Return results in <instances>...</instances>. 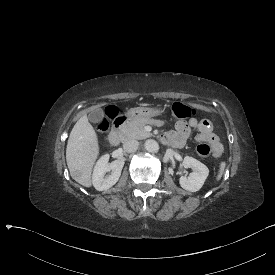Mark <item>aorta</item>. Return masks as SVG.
Masks as SVG:
<instances>
[{"label":"aorta","instance_id":"762f6f07","mask_svg":"<svg viewBox=\"0 0 275 275\" xmlns=\"http://www.w3.org/2000/svg\"><path fill=\"white\" fill-rule=\"evenodd\" d=\"M145 148L150 153H158L159 152V144L155 140H147L145 142Z\"/></svg>","mask_w":275,"mask_h":275}]
</instances>
